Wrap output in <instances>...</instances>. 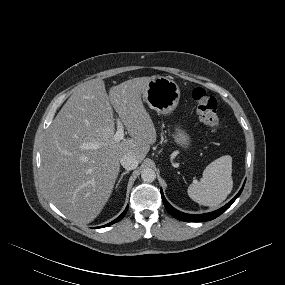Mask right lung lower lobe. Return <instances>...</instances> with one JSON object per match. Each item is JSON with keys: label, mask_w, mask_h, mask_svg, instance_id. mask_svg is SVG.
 <instances>
[{"label": "right lung lower lobe", "mask_w": 285, "mask_h": 285, "mask_svg": "<svg viewBox=\"0 0 285 285\" xmlns=\"http://www.w3.org/2000/svg\"><path fill=\"white\" fill-rule=\"evenodd\" d=\"M127 209H128V206H127V208L124 210V212H123L118 218H116V219L113 220L112 222H110V223H108V224H106V225H104V226H102V227H106V226L112 225V224H114V223L120 221V220L125 216ZM97 228H100V227H97Z\"/></svg>", "instance_id": "98d812e1"}]
</instances>
